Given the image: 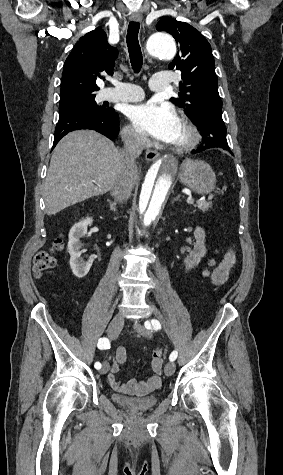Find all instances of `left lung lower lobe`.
<instances>
[{
  "instance_id": "obj_1",
  "label": "left lung lower lobe",
  "mask_w": 283,
  "mask_h": 475,
  "mask_svg": "<svg viewBox=\"0 0 283 475\" xmlns=\"http://www.w3.org/2000/svg\"><path fill=\"white\" fill-rule=\"evenodd\" d=\"M203 137L202 144L192 153H199L209 148H222L229 151L226 139V126L222 119V108L208 107L201 112L198 121L194 122Z\"/></svg>"
}]
</instances>
